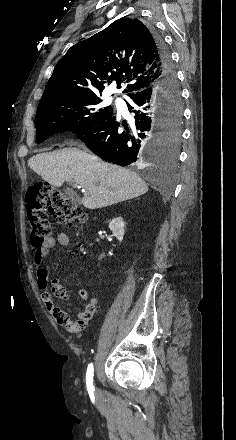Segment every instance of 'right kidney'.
<instances>
[{
  "label": "right kidney",
  "instance_id": "obj_1",
  "mask_svg": "<svg viewBox=\"0 0 236 440\" xmlns=\"http://www.w3.org/2000/svg\"><path fill=\"white\" fill-rule=\"evenodd\" d=\"M124 226L125 223L122 217L114 218L109 223V229L112 231L113 235L121 242L124 237Z\"/></svg>",
  "mask_w": 236,
  "mask_h": 440
}]
</instances>
